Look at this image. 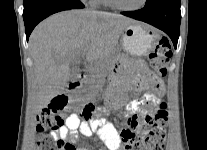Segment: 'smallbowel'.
Listing matches in <instances>:
<instances>
[{
	"label": "small bowel",
	"mask_w": 207,
	"mask_h": 150,
	"mask_svg": "<svg viewBox=\"0 0 207 150\" xmlns=\"http://www.w3.org/2000/svg\"><path fill=\"white\" fill-rule=\"evenodd\" d=\"M139 69L142 73L141 75L136 77H118L113 80L107 93L108 107L118 109L127 104V99L122 94V91L126 88H133L136 91L142 92L148 86L150 87V77L156 76L148 74L145 66L142 64L139 66ZM152 91L155 92L153 99H160L164 95L162 81L161 87H154ZM142 103L143 100L132 101L127 104L129 113L128 125L130 129H134L135 131L142 127L139 121V114H141L144 120H149L153 113V111H143ZM78 133L84 137H91L96 133L108 150H122L121 133H119L111 123L103 119L81 121L79 115L71 114L66 119L64 125L51 132V136L53 138H59L62 141L74 142ZM74 150H89V148L85 145H79L74 146Z\"/></svg>",
	"instance_id": "small-bowel-1"
}]
</instances>
